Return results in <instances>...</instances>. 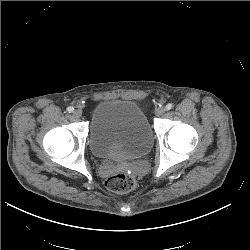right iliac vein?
<instances>
[{"label": "right iliac vein", "mask_w": 250, "mask_h": 250, "mask_svg": "<svg viewBox=\"0 0 250 250\" xmlns=\"http://www.w3.org/2000/svg\"><path fill=\"white\" fill-rule=\"evenodd\" d=\"M73 116H74L75 118H80V117L82 116V111L79 110V109L74 110V111H73Z\"/></svg>", "instance_id": "obj_1"}]
</instances>
